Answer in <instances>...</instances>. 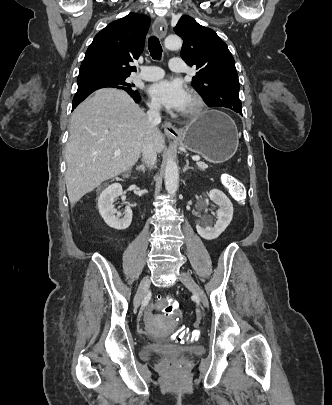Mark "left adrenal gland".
I'll list each match as a JSON object with an SVG mask.
<instances>
[{
    "label": "left adrenal gland",
    "mask_w": 332,
    "mask_h": 405,
    "mask_svg": "<svg viewBox=\"0 0 332 405\" xmlns=\"http://www.w3.org/2000/svg\"><path fill=\"white\" fill-rule=\"evenodd\" d=\"M188 169H192V168L189 167V161L186 160V165H185V167H184V169H183V172L185 173Z\"/></svg>",
    "instance_id": "left-adrenal-gland-1"
}]
</instances>
